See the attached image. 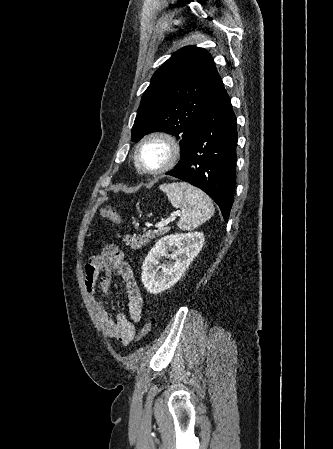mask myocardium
Instances as JSON below:
<instances>
[{
	"label": "myocardium",
	"instance_id": "myocardium-1",
	"mask_svg": "<svg viewBox=\"0 0 333 449\" xmlns=\"http://www.w3.org/2000/svg\"><path fill=\"white\" fill-rule=\"evenodd\" d=\"M151 142H160L166 146L167 158L158 168H148L141 161V151L145 145ZM181 149L178 141L166 132H151L140 139L135 147L134 162L138 171L147 176H158L173 168L180 158Z\"/></svg>",
	"mask_w": 333,
	"mask_h": 449
}]
</instances>
